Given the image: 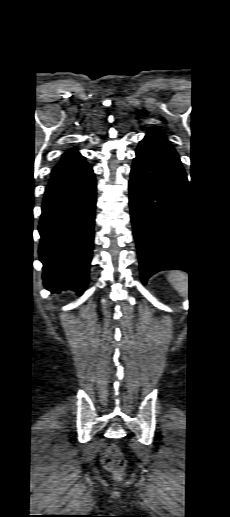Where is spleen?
I'll list each match as a JSON object with an SVG mask.
<instances>
[{
	"instance_id": "1",
	"label": "spleen",
	"mask_w": 230,
	"mask_h": 517,
	"mask_svg": "<svg viewBox=\"0 0 230 517\" xmlns=\"http://www.w3.org/2000/svg\"><path fill=\"white\" fill-rule=\"evenodd\" d=\"M168 281L182 296L188 294V275L182 271H173L167 275Z\"/></svg>"
}]
</instances>
